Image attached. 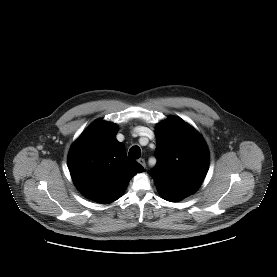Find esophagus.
<instances>
[{
    "instance_id": "1",
    "label": "esophagus",
    "mask_w": 277,
    "mask_h": 277,
    "mask_svg": "<svg viewBox=\"0 0 277 277\" xmlns=\"http://www.w3.org/2000/svg\"><path fill=\"white\" fill-rule=\"evenodd\" d=\"M138 162L145 168L146 167V163L145 160L143 158L138 159Z\"/></svg>"
}]
</instances>
